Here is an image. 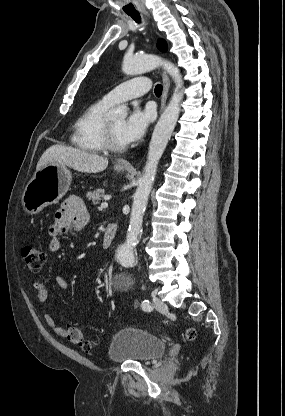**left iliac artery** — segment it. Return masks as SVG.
<instances>
[{
	"label": "left iliac artery",
	"mask_w": 285,
	"mask_h": 416,
	"mask_svg": "<svg viewBox=\"0 0 285 416\" xmlns=\"http://www.w3.org/2000/svg\"><path fill=\"white\" fill-rule=\"evenodd\" d=\"M141 307L144 311H151L152 310L151 303L147 299L142 301Z\"/></svg>",
	"instance_id": "44dca946"
}]
</instances>
